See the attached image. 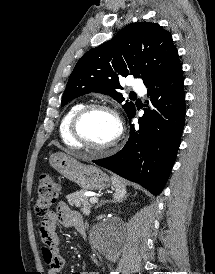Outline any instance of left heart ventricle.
<instances>
[{
	"mask_svg": "<svg viewBox=\"0 0 215 274\" xmlns=\"http://www.w3.org/2000/svg\"><path fill=\"white\" fill-rule=\"evenodd\" d=\"M83 135L95 145L112 141L118 133V124L113 115L96 110L89 113L81 124Z\"/></svg>",
	"mask_w": 215,
	"mask_h": 274,
	"instance_id": "b2bd125f",
	"label": "left heart ventricle"
}]
</instances>
